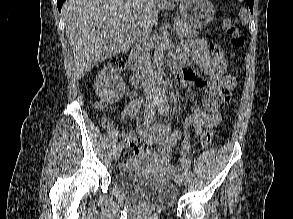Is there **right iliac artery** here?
Returning <instances> with one entry per match:
<instances>
[{
    "label": "right iliac artery",
    "instance_id": "1",
    "mask_svg": "<svg viewBox=\"0 0 293 219\" xmlns=\"http://www.w3.org/2000/svg\"><path fill=\"white\" fill-rule=\"evenodd\" d=\"M156 119V116H150L148 118L145 119L144 123H143V128H147L148 126H150V124H152L154 122V120ZM114 150L117 148H120V145L118 143H116L113 146Z\"/></svg>",
    "mask_w": 293,
    "mask_h": 219
}]
</instances>
